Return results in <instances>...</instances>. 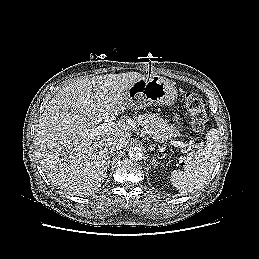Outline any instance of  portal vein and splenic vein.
<instances>
[{
    "label": "portal vein and splenic vein",
    "instance_id": "portal-vein-and-splenic-vein-1",
    "mask_svg": "<svg viewBox=\"0 0 259 259\" xmlns=\"http://www.w3.org/2000/svg\"><path fill=\"white\" fill-rule=\"evenodd\" d=\"M114 126H115V123H114V122H112V121H107V122L102 123V124L99 125L98 127H95V128H93V129H89V130L86 132V134L92 138V137L98 135V134L101 133V132H108V131H110ZM173 145H176L177 147H180V148H185V147H188V148L198 147V145H194L193 143L185 144V143L179 142V141H173Z\"/></svg>",
    "mask_w": 259,
    "mask_h": 259
}]
</instances>
